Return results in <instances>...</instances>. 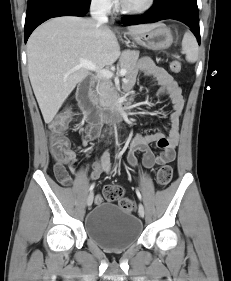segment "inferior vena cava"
Wrapping results in <instances>:
<instances>
[{
    "label": "inferior vena cava",
    "mask_w": 231,
    "mask_h": 281,
    "mask_svg": "<svg viewBox=\"0 0 231 281\" xmlns=\"http://www.w3.org/2000/svg\"><path fill=\"white\" fill-rule=\"evenodd\" d=\"M109 8L108 0H92L90 6V14L93 20L99 25H104L108 22L107 10Z\"/></svg>",
    "instance_id": "obj_1"
}]
</instances>
